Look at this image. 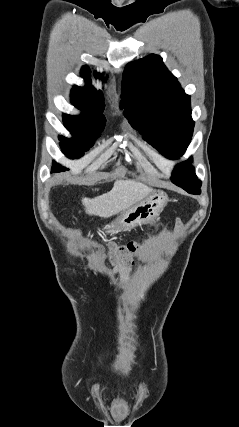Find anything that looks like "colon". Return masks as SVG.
I'll list each match as a JSON object with an SVG mask.
<instances>
[{
	"mask_svg": "<svg viewBox=\"0 0 239 427\" xmlns=\"http://www.w3.org/2000/svg\"><path fill=\"white\" fill-rule=\"evenodd\" d=\"M140 251V244L130 241L126 244L117 245L111 243L108 245V252L112 264L128 265Z\"/></svg>",
	"mask_w": 239,
	"mask_h": 427,
	"instance_id": "obj_1",
	"label": "colon"
}]
</instances>
